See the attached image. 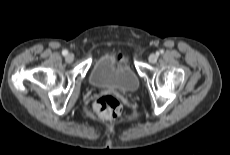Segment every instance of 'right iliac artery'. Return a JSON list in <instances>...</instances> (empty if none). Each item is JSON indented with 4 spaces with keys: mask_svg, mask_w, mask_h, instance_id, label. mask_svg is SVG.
Here are the masks:
<instances>
[{
    "mask_svg": "<svg viewBox=\"0 0 230 155\" xmlns=\"http://www.w3.org/2000/svg\"><path fill=\"white\" fill-rule=\"evenodd\" d=\"M67 54H68V51H67V50H63V51H62V55H63V56H66Z\"/></svg>",
    "mask_w": 230,
    "mask_h": 155,
    "instance_id": "right-iliac-artery-1",
    "label": "right iliac artery"
}]
</instances>
